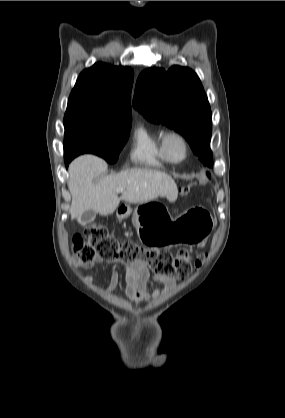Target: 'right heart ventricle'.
I'll return each instance as SVG.
<instances>
[{
    "label": "right heart ventricle",
    "mask_w": 285,
    "mask_h": 418,
    "mask_svg": "<svg viewBox=\"0 0 285 418\" xmlns=\"http://www.w3.org/2000/svg\"><path fill=\"white\" fill-rule=\"evenodd\" d=\"M162 134L147 126H138L132 135L130 159L133 163L152 168L168 164L161 146Z\"/></svg>",
    "instance_id": "1"
}]
</instances>
